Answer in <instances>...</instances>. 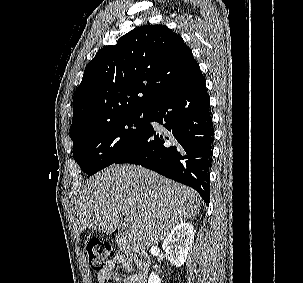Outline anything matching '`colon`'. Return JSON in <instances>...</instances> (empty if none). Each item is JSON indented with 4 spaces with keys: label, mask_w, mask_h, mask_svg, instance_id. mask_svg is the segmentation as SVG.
Wrapping results in <instances>:
<instances>
[{
    "label": "colon",
    "mask_w": 303,
    "mask_h": 283,
    "mask_svg": "<svg viewBox=\"0 0 303 283\" xmlns=\"http://www.w3.org/2000/svg\"><path fill=\"white\" fill-rule=\"evenodd\" d=\"M90 267L95 271H102L105 264L114 257V249L110 242L92 238L85 244Z\"/></svg>",
    "instance_id": "obj_1"
}]
</instances>
